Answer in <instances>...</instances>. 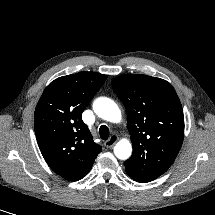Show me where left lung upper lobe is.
<instances>
[{
	"instance_id": "obj_1",
	"label": "left lung upper lobe",
	"mask_w": 215,
	"mask_h": 215,
	"mask_svg": "<svg viewBox=\"0 0 215 215\" xmlns=\"http://www.w3.org/2000/svg\"><path fill=\"white\" fill-rule=\"evenodd\" d=\"M112 88L127 111L133 154L126 171L152 181L174 162L183 142L184 115L174 88L165 80L147 75H122Z\"/></svg>"
}]
</instances>
